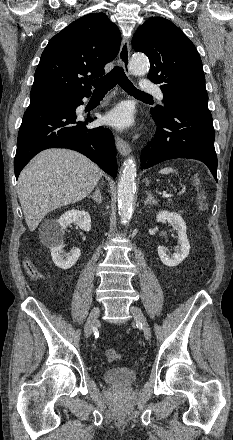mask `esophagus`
I'll use <instances>...</instances> for the list:
<instances>
[{
    "mask_svg": "<svg viewBox=\"0 0 233 440\" xmlns=\"http://www.w3.org/2000/svg\"><path fill=\"white\" fill-rule=\"evenodd\" d=\"M129 60L130 42L124 38L119 51V64L127 73L129 72ZM116 147L118 152L123 156H127L131 151L130 145L119 136L116 137Z\"/></svg>",
    "mask_w": 233,
    "mask_h": 440,
    "instance_id": "obj_1",
    "label": "esophagus"
}]
</instances>
